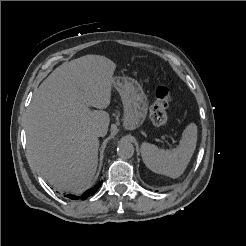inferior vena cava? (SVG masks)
Segmentation results:
<instances>
[{"label":"inferior vena cava","instance_id":"inferior-vena-cava-1","mask_svg":"<svg viewBox=\"0 0 246 246\" xmlns=\"http://www.w3.org/2000/svg\"><path fill=\"white\" fill-rule=\"evenodd\" d=\"M94 135L97 137L102 136V129L101 128L94 129Z\"/></svg>","mask_w":246,"mask_h":246}]
</instances>
